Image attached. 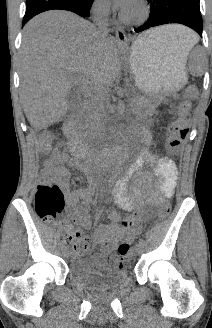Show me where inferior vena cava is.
<instances>
[{"instance_id": "602c4592", "label": "inferior vena cava", "mask_w": 212, "mask_h": 328, "mask_svg": "<svg viewBox=\"0 0 212 328\" xmlns=\"http://www.w3.org/2000/svg\"><path fill=\"white\" fill-rule=\"evenodd\" d=\"M109 5L108 4H97L93 8L92 18L102 34H107V17L109 15ZM102 101V91L97 87H92L87 91L86 94V111L89 119H94L100 108ZM96 177V174H93Z\"/></svg>"}]
</instances>
